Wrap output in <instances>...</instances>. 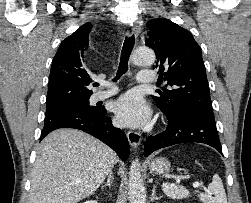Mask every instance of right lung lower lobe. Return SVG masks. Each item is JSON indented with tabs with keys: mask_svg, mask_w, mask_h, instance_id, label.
<instances>
[{
	"mask_svg": "<svg viewBox=\"0 0 251 203\" xmlns=\"http://www.w3.org/2000/svg\"><path fill=\"white\" fill-rule=\"evenodd\" d=\"M59 128L79 129L93 135L111 147L123 161L129 156L130 146L126 134L112 125L111 118L104 109L91 111L71 108L50 113L46 115L41 140Z\"/></svg>",
	"mask_w": 251,
	"mask_h": 203,
	"instance_id": "98d812e1",
	"label": "right lung lower lobe"
}]
</instances>
